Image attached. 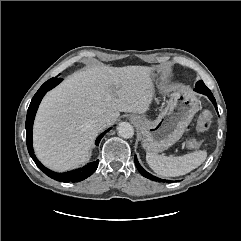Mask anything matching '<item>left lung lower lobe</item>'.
<instances>
[{
	"mask_svg": "<svg viewBox=\"0 0 241 241\" xmlns=\"http://www.w3.org/2000/svg\"><path fill=\"white\" fill-rule=\"evenodd\" d=\"M195 91L196 92H199V93H202L204 95H207L208 98L212 101V103L214 104L216 110H217V105H216V100L215 98L213 97V94L211 93V91L205 86V84L203 83V81H199L196 83V87H195ZM218 112V110H217ZM135 164H136V167L138 168L139 172L146 178L150 179V180H153V181H158V182H172V181H169V180H164V179H160V178H157L153 175H151L150 173H148L147 171H145L139 164L138 160H137V157L135 156Z\"/></svg>",
	"mask_w": 241,
	"mask_h": 241,
	"instance_id": "left-lung-lower-lobe-1",
	"label": "left lung lower lobe"
}]
</instances>
